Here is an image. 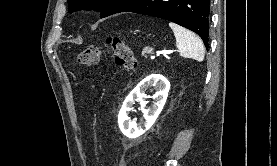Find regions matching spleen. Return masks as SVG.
Returning a JSON list of instances; mask_svg holds the SVG:
<instances>
[{
  "instance_id": "3e777b00",
  "label": "spleen",
  "mask_w": 277,
  "mask_h": 166,
  "mask_svg": "<svg viewBox=\"0 0 277 166\" xmlns=\"http://www.w3.org/2000/svg\"><path fill=\"white\" fill-rule=\"evenodd\" d=\"M176 38V46L182 57L203 61L205 48L200 38L193 32L173 22L169 23Z\"/></svg>"
}]
</instances>
